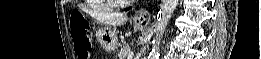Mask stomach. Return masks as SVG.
I'll return each mask as SVG.
<instances>
[{
  "label": "stomach",
  "instance_id": "obj_1",
  "mask_svg": "<svg viewBox=\"0 0 261 59\" xmlns=\"http://www.w3.org/2000/svg\"><path fill=\"white\" fill-rule=\"evenodd\" d=\"M142 27L143 26L139 23L134 24L135 29H142ZM96 38H97L100 46L106 52H114L118 47L117 34L110 27L100 28L96 32Z\"/></svg>",
  "mask_w": 261,
  "mask_h": 59
}]
</instances>
